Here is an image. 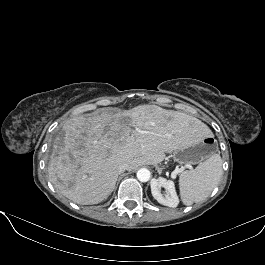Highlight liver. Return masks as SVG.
Masks as SVG:
<instances>
[{
    "label": "liver",
    "instance_id": "6515ba94",
    "mask_svg": "<svg viewBox=\"0 0 265 265\" xmlns=\"http://www.w3.org/2000/svg\"><path fill=\"white\" fill-rule=\"evenodd\" d=\"M62 132L48 164L50 181L74 203L91 205L112 193L120 164L156 165L210 130L183 112L139 105L70 118Z\"/></svg>",
    "mask_w": 265,
    "mask_h": 265
}]
</instances>
